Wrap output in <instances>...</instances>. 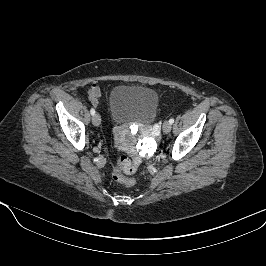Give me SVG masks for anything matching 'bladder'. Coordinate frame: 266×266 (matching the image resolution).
<instances>
[{
  "mask_svg": "<svg viewBox=\"0 0 266 266\" xmlns=\"http://www.w3.org/2000/svg\"><path fill=\"white\" fill-rule=\"evenodd\" d=\"M157 93L139 85H118L109 95L108 104L114 124L128 122L149 123L157 111Z\"/></svg>",
  "mask_w": 266,
  "mask_h": 266,
  "instance_id": "1",
  "label": "bladder"
}]
</instances>
